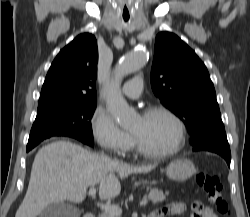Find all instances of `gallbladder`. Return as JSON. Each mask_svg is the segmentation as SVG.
<instances>
[{
    "label": "gallbladder",
    "mask_w": 250,
    "mask_h": 217,
    "mask_svg": "<svg viewBox=\"0 0 250 217\" xmlns=\"http://www.w3.org/2000/svg\"><path fill=\"white\" fill-rule=\"evenodd\" d=\"M39 217H80V210L65 202L53 203L45 207Z\"/></svg>",
    "instance_id": "bac80fb5"
}]
</instances>
